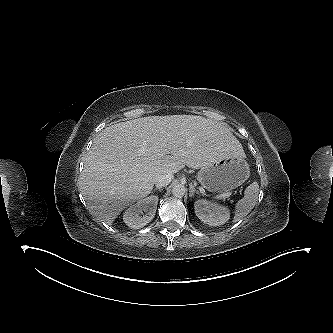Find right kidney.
Listing matches in <instances>:
<instances>
[{
    "label": "right kidney",
    "mask_w": 333,
    "mask_h": 333,
    "mask_svg": "<svg viewBox=\"0 0 333 333\" xmlns=\"http://www.w3.org/2000/svg\"><path fill=\"white\" fill-rule=\"evenodd\" d=\"M158 196H149L130 206L123 215V220L130 228L139 229L149 223L155 216ZM145 212V214L143 213ZM141 214L143 216H141Z\"/></svg>",
    "instance_id": "1"
}]
</instances>
